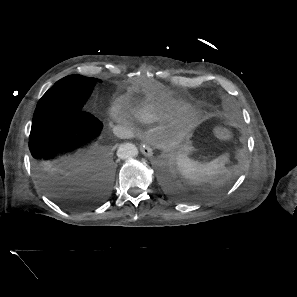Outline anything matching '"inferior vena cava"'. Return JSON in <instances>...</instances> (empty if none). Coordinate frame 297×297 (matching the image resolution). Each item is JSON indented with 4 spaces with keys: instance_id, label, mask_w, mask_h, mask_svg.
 Returning <instances> with one entry per match:
<instances>
[{
    "instance_id": "602c4592",
    "label": "inferior vena cava",
    "mask_w": 297,
    "mask_h": 297,
    "mask_svg": "<svg viewBox=\"0 0 297 297\" xmlns=\"http://www.w3.org/2000/svg\"><path fill=\"white\" fill-rule=\"evenodd\" d=\"M113 133L117 137L122 138V139L130 138L133 135V132L130 129V127H128L126 125H117V126H114Z\"/></svg>"
}]
</instances>
